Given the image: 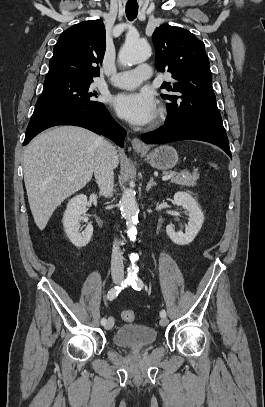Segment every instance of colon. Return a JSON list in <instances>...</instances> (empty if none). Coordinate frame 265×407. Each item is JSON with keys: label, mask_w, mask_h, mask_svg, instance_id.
Segmentation results:
<instances>
[{"label": "colon", "mask_w": 265, "mask_h": 407, "mask_svg": "<svg viewBox=\"0 0 265 407\" xmlns=\"http://www.w3.org/2000/svg\"><path fill=\"white\" fill-rule=\"evenodd\" d=\"M121 317L125 322H132L135 320V313L133 310L125 309L122 311Z\"/></svg>", "instance_id": "5ec220e1"}]
</instances>
